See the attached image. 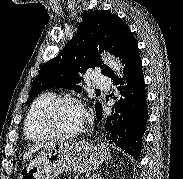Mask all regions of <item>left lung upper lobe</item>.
<instances>
[{
    "label": "left lung upper lobe",
    "instance_id": "obj_1",
    "mask_svg": "<svg viewBox=\"0 0 183 179\" xmlns=\"http://www.w3.org/2000/svg\"><path fill=\"white\" fill-rule=\"evenodd\" d=\"M129 27L116 14L107 10L91 11L84 16L75 36L61 53L46 62L31 87L27 103L33 101L41 91L52 87L72 88L80 92L76 83L83 80L81 74L91 67L99 66L102 74L109 76L112 70L99 60L101 52L108 51L117 57L120 45ZM96 113L102 110L97 101Z\"/></svg>",
    "mask_w": 183,
    "mask_h": 179
}]
</instances>
